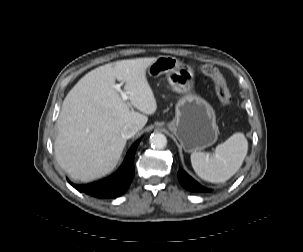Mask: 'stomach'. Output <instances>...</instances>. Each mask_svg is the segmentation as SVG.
<instances>
[{
    "label": "stomach",
    "mask_w": 303,
    "mask_h": 252,
    "mask_svg": "<svg viewBox=\"0 0 303 252\" xmlns=\"http://www.w3.org/2000/svg\"><path fill=\"white\" fill-rule=\"evenodd\" d=\"M150 76L166 74L172 89L182 94L175 118L167 124L186 152H196L213 145L218 138L216 115L212 106L192 93L194 71L172 56H160L148 67Z\"/></svg>",
    "instance_id": "1"
}]
</instances>
